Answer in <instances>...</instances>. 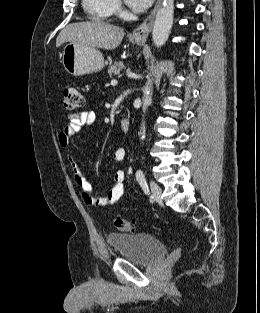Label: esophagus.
<instances>
[{"mask_svg":"<svg viewBox=\"0 0 260 313\" xmlns=\"http://www.w3.org/2000/svg\"><path fill=\"white\" fill-rule=\"evenodd\" d=\"M162 0H157L155 7L149 14V16L142 22L141 25H139L136 29H134L132 33V37L135 41L138 42H145L151 32L153 23H154V18L156 15V12L158 8L161 5Z\"/></svg>","mask_w":260,"mask_h":313,"instance_id":"1","label":"esophagus"}]
</instances>
